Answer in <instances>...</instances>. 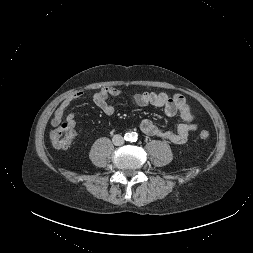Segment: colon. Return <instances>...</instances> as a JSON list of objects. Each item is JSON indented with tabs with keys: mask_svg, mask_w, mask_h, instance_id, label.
Masks as SVG:
<instances>
[{
	"mask_svg": "<svg viewBox=\"0 0 253 253\" xmlns=\"http://www.w3.org/2000/svg\"><path fill=\"white\" fill-rule=\"evenodd\" d=\"M210 134L208 130H202L199 134L200 139L207 140ZM74 137V128L71 124L65 122L50 133V141L52 145L59 149H66L70 146Z\"/></svg>",
	"mask_w": 253,
	"mask_h": 253,
	"instance_id": "obj_1",
	"label": "colon"
}]
</instances>
